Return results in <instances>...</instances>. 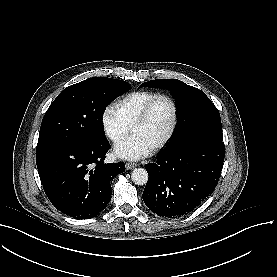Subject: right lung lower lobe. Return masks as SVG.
I'll return each mask as SVG.
<instances>
[{
	"instance_id": "obj_1",
	"label": "right lung lower lobe",
	"mask_w": 277,
	"mask_h": 277,
	"mask_svg": "<svg viewBox=\"0 0 277 277\" xmlns=\"http://www.w3.org/2000/svg\"><path fill=\"white\" fill-rule=\"evenodd\" d=\"M105 138L90 142L52 143L36 148L43 188L53 205L77 219L96 216L111 200L110 181L125 164L104 163Z\"/></svg>"
}]
</instances>
